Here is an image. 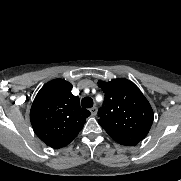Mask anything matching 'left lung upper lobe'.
<instances>
[{
    "label": "left lung upper lobe",
    "mask_w": 181,
    "mask_h": 181,
    "mask_svg": "<svg viewBox=\"0 0 181 181\" xmlns=\"http://www.w3.org/2000/svg\"><path fill=\"white\" fill-rule=\"evenodd\" d=\"M105 93L104 106L98 111V123L121 145L134 146L148 134L154 118L151 105L130 80L98 82Z\"/></svg>",
    "instance_id": "1"
}]
</instances>
